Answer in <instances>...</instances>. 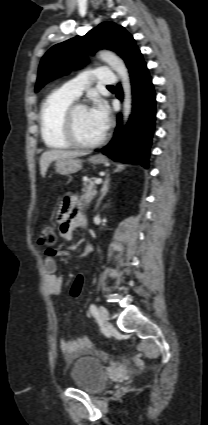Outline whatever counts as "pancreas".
<instances>
[{
  "label": "pancreas",
  "instance_id": "1",
  "mask_svg": "<svg viewBox=\"0 0 208 425\" xmlns=\"http://www.w3.org/2000/svg\"><path fill=\"white\" fill-rule=\"evenodd\" d=\"M95 180L96 178L93 177L84 182V188L82 189L83 194L81 196V200L85 201L86 203L91 202V200L96 194Z\"/></svg>",
  "mask_w": 208,
  "mask_h": 425
}]
</instances>
